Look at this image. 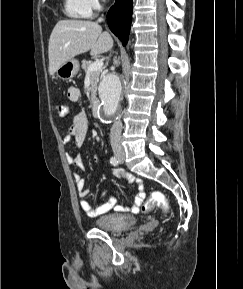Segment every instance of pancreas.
<instances>
[{"instance_id": "pancreas-1", "label": "pancreas", "mask_w": 243, "mask_h": 289, "mask_svg": "<svg viewBox=\"0 0 243 289\" xmlns=\"http://www.w3.org/2000/svg\"><path fill=\"white\" fill-rule=\"evenodd\" d=\"M91 64H92L91 61H87V60H83L82 61V69L86 73L90 74L91 85H90V88H89V92H90L91 100L94 101L96 99L97 85H98L99 77H100V74H101V70L88 72L89 66Z\"/></svg>"}]
</instances>
